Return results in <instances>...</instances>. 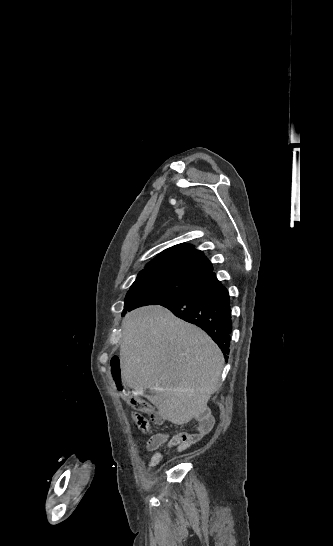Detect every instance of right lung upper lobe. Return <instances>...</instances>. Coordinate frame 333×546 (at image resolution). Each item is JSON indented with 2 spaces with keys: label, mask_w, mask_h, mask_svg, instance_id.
<instances>
[{
  "label": "right lung upper lobe",
  "mask_w": 333,
  "mask_h": 546,
  "mask_svg": "<svg viewBox=\"0 0 333 546\" xmlns=\"http://www.w3.org/2000/svg\"><path fill=\"white\" fill-rule=\"evenodd\" d=\"M212 271V264L202 251L196 250L190 244H179L164 250L139 274H169L203 280Z\"/></svg>",
  "instance_id": "1"
}]
</instances>
